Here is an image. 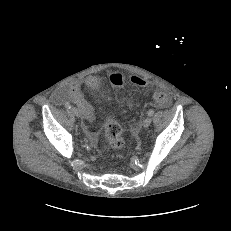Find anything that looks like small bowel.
<instances>
[{
	"label": "small bowel",
	"instance_id": "c3829d8e",
	"mask_svg": "<svg viewBox=\"0 0 231 231\" xmlns=\"http://www.w3.org/2000/svg\"><path fill=\"white\" fill-rule=\"evenodd\" d=\"M86 85L89 89L95 90L100 86L99 78L91 76L87 78ZM60 95L65 100H70L75 103L84 115V129L87 132V137L92 145H96L98 142V135L92 130L94 123V108L90 102H88L81 92V83L79 81H73L67 86H64L60 90Z\"/></svg>",
	"mask_w": 231,
	"mask_h": 231
}]
</instances>
